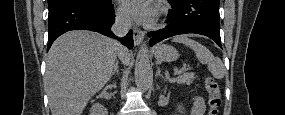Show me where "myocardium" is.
<instances>
[{
    "mask_svg": "<svg viewBox=\"0 0 285 115\" xmlns=\"http://www.w3.org/2000/svg\"><path fill=\"white\" fill-rule=\"evenodd\" d=\"M165 11H166L165 7L159 6V7H158L157 16H158V17L163 16V14L165 13Z\"/></svg>",
    "mask_w": 285,
    "mask_h": 115,
    "instance_id": "myocardium-1",
    "label": "myocardium"
}]
</instances>
